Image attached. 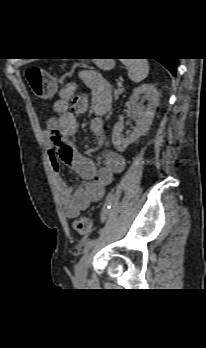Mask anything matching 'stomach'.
Wrapping results in <instances>:
<instances>
[{
	"instance_id": "obj_1",
	"label": "stomach",
	"mask_w": 206,
	"mask_h": 348,
	"mask_svg": "<svg viewBox=\"0 0 206 348\" xmlns=\"http://www.w3.org/2000/svg\"><path fill=\"white\" fill-rule=\"evenodd\" d=\"M95 63L98 67L104 70L111 69L115 65V61L113 59H96Z\"/></svg>"
}]
</instances>
